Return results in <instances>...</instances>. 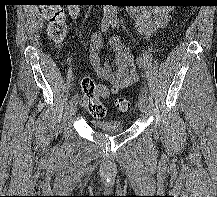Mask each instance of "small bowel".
<instances>
[{"instance_id": "c3829d8e", "label": "small bowel", "mask_w": 217, "mask_h": 197, "mask_svg": "<svg viewBox=\"0 0 217 197\" xmlns=\"http://www.w3.org/2000/svg\"><path fill=\"white\" fill-rule=\"evenodd\" d=\"M172 9L169 6H157L153 8L134 7L130 9V15L135 20L138 31L149 38L160 29L166 27L172 20ZM69 15L76 19L80 14L78 5L73 4L68 7ZM103 40L100 33H93L90 43V63L97 75L110 82L111 86L107 95L117 94L121 88L133 85L138 81V73L135 68L134 57L122 42L119 36H114L110 40V48L113 51V64L106 62L101 64L100 51Z\"/></svg>"}]
</instances>
